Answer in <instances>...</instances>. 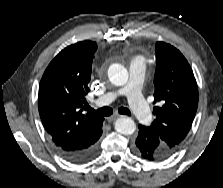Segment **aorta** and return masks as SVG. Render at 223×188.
Instances as JSON below:
<instances>
[{
    "mask_svg": "<svg viewBox=\"0 0 223 188\" xmlns=\"http://www.w3.org/2000/svg\"><path fill=\"white\" fill-rule=\"evenodd\" d=\"M108 77L115 86H123L128 82L129 75L123 65L114 63L108 69ZM115 130L123 135H131L136 130V124L130 117L124 116L116 120Z\"/></svg>",
    "mask_w": 223,
    "mask_h": 188,
    "instance_id": "1",
    "label": "aorta"
}]
</instances>
